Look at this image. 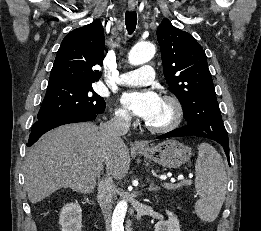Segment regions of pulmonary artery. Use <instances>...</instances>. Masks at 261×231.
Instances as JSON below:
<instances>
[{
	"label": "pulmonary artery",
	"mask_w": 261,
	"mask_h": 231,
	"mask_svg": "<svg viewBox=\"0 0 261 231\" xmlns=\"http://www.w3.org/2000/svg\"><path fill=\"white\" fill-rule=\"evenodd\" d=\"M154 75V68L150 65H145L122 74L119 83L129 86L146 85L153 81Z\"/></svg>",
	"instance_id": "1"
}]
</instances>
